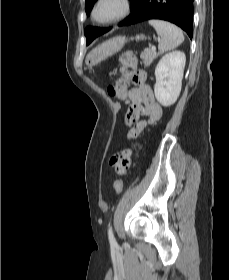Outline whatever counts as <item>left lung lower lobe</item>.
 Returning <instances> with one entry per match:
<instances>
[{"instance_id": "0a47b994", "label": "left lung lower lobe", "mask_w": 229, "mask_h": 280, "mask_svg": "<svg viewBox=\"0 0 229 280\" xmlns=\"http://www.w3.org/2000/svg\"><path fill=\"white\" fill-rule=\"evenodd\" d=\"M149 19L172 22L192 38L193 0H136L131 15L119 26H128Z\"/></svg>"}]
</instances>
